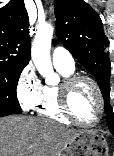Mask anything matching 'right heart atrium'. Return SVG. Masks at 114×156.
Segmentation results:
<instances>
[{"mask_svg":"<svg viewBox=\"0 0 114 156\" xmlns=\"http://www.w3.org/2000/svg\"><path fill=\"white\" fill-rule=\"evenodd\" d=\"M42 89L43 85L33 67L31 65L24 67L16 82V96L23 110L35 108L41 98Z\"/></svg>","mask_w":114,"mask_h":156,"instance_id":"obj_1","label":"right heart atrium"}]
</instances>
